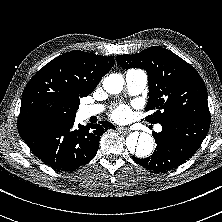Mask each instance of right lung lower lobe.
<instances>
[{
  "label": "right lung lower lobe",
  "instance_id": "right-lung-lower-lobe-1",
  "mask_svg": "<svg viewBox=\"0 0 222 222\" xmlns=\"http://www.w3.org/2000/svg\"><path fill=\"white\" fill-rule=\"evenodd\" d=\"M74 121L39 120L18 125V131L33 154L45 164L57 170H75L94 158L100 136L115 127L100 121L88 126L79 124L74 129Z\"/></svg>",
  "mask_w": 222,
  "mask_h": 222
}]
</instances>
